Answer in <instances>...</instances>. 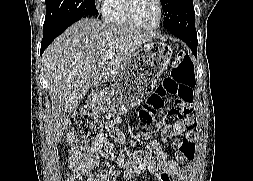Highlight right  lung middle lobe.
Returning <instances> with one entry per match:
<instances>
[{
  "instance_id": "1",
  "label": "right lung middle lobe",
  "mask_w": 253,
  "mask_h": 181,
  "mask_svg": "<svg viewBox=\"0 0 253 181\" xmlns=\"http://www.w3.org/2000/svg\"><path fill=\"white\" fill-rule=\"evenodd\" d=\"M45 2L44 31L54 29L74 18L97 14L95 0H45Z\"/></svg>"
}]
</instances>
